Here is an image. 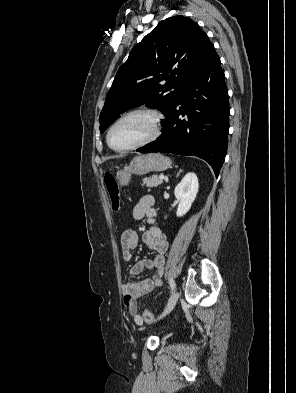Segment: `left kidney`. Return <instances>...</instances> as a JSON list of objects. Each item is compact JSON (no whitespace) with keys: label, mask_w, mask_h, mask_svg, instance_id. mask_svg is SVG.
I'll use <instances>...</instances> for the list:
<instances>
[{"label":"left kidney","mask_w":296,"mask_h":393,"mask_svg":"<svg viewBox=\"0 0 296 393\" xmlns=\"http://www.w3.org/2000/svg\"><path fill=\"white\" fill-rule=\"evenodd\" d=\"M198 188V178L193 172L187 173L176 186L174 194L176 199L179 201L176 212L178 217H182L190 210L191 205L197 196Z\"/></svg>","instance_id":"obj_1"}]
</instances>
